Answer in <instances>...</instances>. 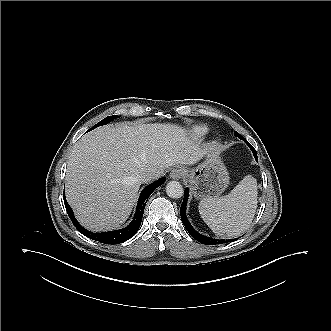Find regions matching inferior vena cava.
Here are the masks:
<instances>
[{"mask_svg":"<svg viewBox=\"0 0 331 331\" xmlns=\"http://www.w3.org/2000/svg\"><path fill=\"white\" fill-rule=\"evenodd\" d=\"M159 177H160L159 172H149V173H145L144 175L140 176L139 180L141 183H147V182L155 180Z\"/></svg>","mask_w":331,"mask_h":331,"instance_id":"inferior-vena-cava-1","label":"inferior vena cava"}]
</instances>
